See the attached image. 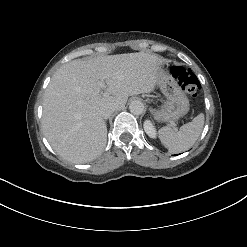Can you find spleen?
Segmentation results:
<instances>
[{"mask_svg": "<svg viewBox=\"0 0 247 247\" xmlns=\"http://www.w3.org/2000/svg\"><path fill=\"white\" fill-rule=\"evenodd\" d=\"M204 119V114L200 113L191 122L181 126L178 131L170 127L161 128L158 132L161 143L173 154L188 150L199 138Z\"/></svg>", "mask_w": 247, "mask_h": 247, "instance_id": "obj_1", "label": "spleen"}]
</instances>
